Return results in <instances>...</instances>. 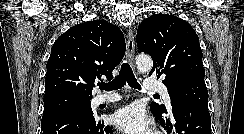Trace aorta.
Wrapping results in <instances>:
<instances>
[{
    "instance_id": "762f6f07",
    "label": "aorta",
    "mask_w": 244,
    "mask_h": 134,
    "mask_svg": "<svg viewBox=\"0 0 244 134\" xmlns=\"http://www.w3.org/2000/svg\"><path fill=\"white\" fill-rule=\"evenodd\" d=\"M136 65L139 72L144 73L151 70L153 66L152 59L146 55H139L136 57Z\"/></svg>"
}]
</instances>
